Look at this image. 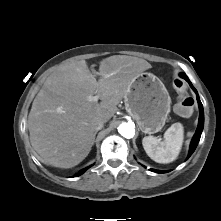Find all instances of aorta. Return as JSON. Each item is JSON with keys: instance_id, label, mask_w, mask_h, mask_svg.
<instances>
[{"instance_id": "1", "label": "aorta", "mask_w": 221, "mask_h": 221, "mask_svg": "<svg viewBox=\"0 0 221 221\" xmlns=\"http://www.w3.org/2000/svg\"><path fill=\"white\" fill-rule=\"evenodd\" d=\"M118 132L125 138L130 139L135 134V126L131 122H124L119 125Z\"/></svg>"}]
</instances>
